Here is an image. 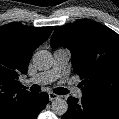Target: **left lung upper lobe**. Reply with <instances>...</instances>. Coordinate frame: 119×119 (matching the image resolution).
<instances>
[{
    "mask_svg": "<svg viewBox=\"0 0 119 119\" xmlns=\"http://www.w3.org/2000/svg\"><path fill=\"white\" fill-rule=\"evenodd\" d=\"M67 47L83 97L119 108V35L89 19L57 27L51 47Z\"/></svg>",
    "mask_w": 119,
    "mask_h": 119,
    "instance_id": "obj_1",
    "label": "left lung upper lobe"
}]
</instances>
